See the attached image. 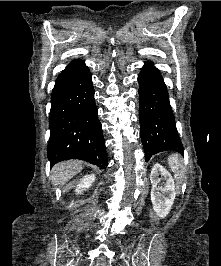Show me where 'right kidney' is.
I'll return each instance as SVG.
<instances>
[{"label": "right kidney", "instance_id": "1", "mask_svg": "<svg viewBox=\"0 0 221 266\" xmlns=\"http://www.w3.org/2000/svg\"><path fill=\"white\" fill-rule=\"evenodd\" d=\"M94 181H95L94 174L85 175L83 178L80 179L79 184L77 185L76 188V193L81 194L82 191L88 189Z\"/></svg>", "mask_w": 221, "mask_h": 266}]
</instances>
